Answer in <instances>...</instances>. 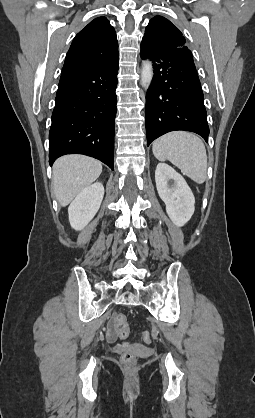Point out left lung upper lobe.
I'll return each instance as SVG.
<instances>
[{
	"label": "left lung upper lobe",
	"mask_w": 255,
	"mask_h": 418,
	"mask_svg": "<svg viewBox=\"0 0 255 418\" xmlns=\"http://www.w3.org/2000/svg\"><path fill=\"white\" fill-rule=\"evenodd\" d=\"M141 46L153 52H171L177 49H188L180 30L162 16H155L150 20Z\"/></svg>",
	"instance_id": "5c2ea615"
}]
</instances>
